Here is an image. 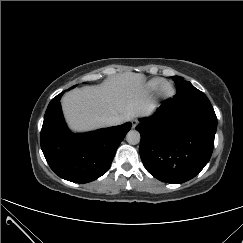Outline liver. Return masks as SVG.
I'll return each mask as SVG.
<instances>
[{
  "label": "liver",
  "instance_id": "obj_1",
  "mask_svg": "<svg viewBox=\"0 0 243 243\" xmlns=\"http://www.w3.org/2000/svg\"><path fill=\"white\" fill-rule=\"evenodd\" d=\"M145 76L125 72L100 85L77 88L66 93L62 107L69 126L77 131L107 126L117 116L123 122L149 115L154 103L144 87Z\"/></svg>",
  "mask_w": 243,
  "mask_h": 243
}]
</instances>
